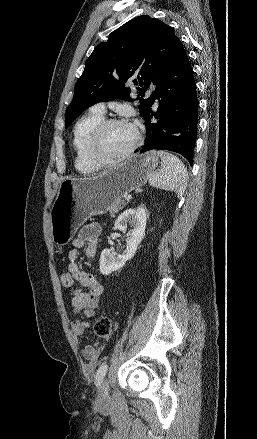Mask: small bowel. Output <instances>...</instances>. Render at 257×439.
<instances>
[{"mask_svg": "<svg viewBox=\"0 0 257 439\" xmlns=\"http://www.w3.org/2000/svg\"><path fill=\"white\" fill-rule=\"evenodd\" d=\"M101 228L98 224L92 223L84 226L72 241V249L68 253V272L74 281L78 282L82 289L73 292L70 306L74 314H83L85 317H93L96 311L100 310V297L103 293V286L90 273L83 271L79 264L80 250L85 248V256L93 259L96 256ZM90 327L86 320L75 319L72 323V331L75 336L80 337ZM102 351V342L96 339L92 344L81 348V355L85 359L84 369L87 373L92 372L99 360Z\"/></svg>", "mask_w": 257, "mask_h": 439, "instance_id": "1", "label": "small bowel"}]
</instances>
